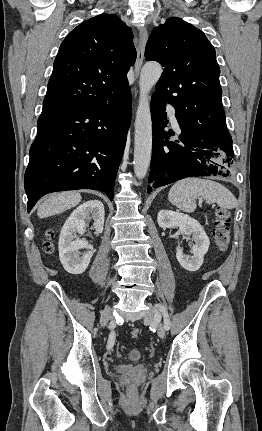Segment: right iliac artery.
<instances>
[{
  "mask_svg": "<svg viewBox=\"0 0 262 431\" xmlns=\"http://www.w3.org/2000/svg\"><path fill=\"white\" fill-rule=\"evenodd\" d=\"M115 342V338H112V333H110L109 339H108V344L107 347L108 348H112Z\"/></svg>",
  "mask_w": 262,
  "mask_h": 431,
  "instance_id": "82829eb1",
  "label": "right iliac artery"
}]
</instances>
